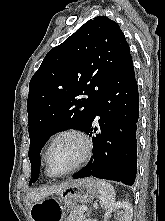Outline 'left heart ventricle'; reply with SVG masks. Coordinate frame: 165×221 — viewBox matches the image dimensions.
Masks as SVG:
<instances>
[{"mask_svg":"<svg viewBox=\"0 0 165 221\" xmlns=\"http://www.w3.org/2000/svg\"><path fill=\"white\" fill-rule=\"evenodd\" d=\"M83 153L81 140L73 135H67L58 139L49 152V162L52 169L62 172L73 167Z\"/></svg>","mask_w":165,"mask_h":221,"instance_id":"obj_1","label":"left heart ventricle"}]
</instances>
